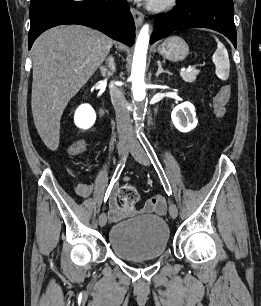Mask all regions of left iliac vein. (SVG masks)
<instances>
[{"label": "left iliac vein", "instance_id": "obj_1", "mask_svg": "<svg viewBox=\"0 0 261 306\" xmlns=\"http://www.w3.org/2000/svg\"><path fill=\"white\" fill-rule=\"evenodd\" d=\"M127 149L140 164L144 166L150 165V160L146 152L135 137H132L129 140ZM169 214L173 219H175L178 215V208L173 202H170L169 204Z\"/></svg>", "mask_w": 261, "mask_h": 306}]
</instances>
